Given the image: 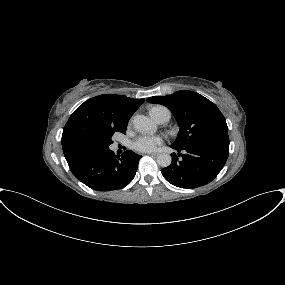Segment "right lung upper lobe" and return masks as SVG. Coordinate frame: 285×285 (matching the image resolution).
I'll return each instance as SVG.
<instances>
[{
  "instance_id": "cb5924a9",
  "label": "right lung upper lobe",
  "mask_w": 285,
  "mask_h": 285,
  "mask_svg": "<svg viewBox=\"0 0 285 285\" xmlns=\"http://www.w3.org/2000/svg\"><path fill=\"white\" fill-rule=\"evenodd\" d=\"M145 99L103 94L82 103L70 116L62 134L66 160L97 146L110 132L126 130L128 121Z\"/></svg>"
}]
</instances>
